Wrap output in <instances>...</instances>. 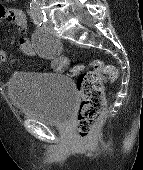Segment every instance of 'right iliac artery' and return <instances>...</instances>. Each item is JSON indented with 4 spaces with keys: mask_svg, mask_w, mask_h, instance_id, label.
<instances>
[{
    "mask_svg": "<svg viewBox=\"0 0 143 170\" xmlns=\"http://www.w3.org/2000/svg\"><path fill=\"white\" fill-rule=\"evenodd\" d=\"M44 18H45V16H44V17L34 18V23H35L38 27H40V26H42V25L44 24Z\"/></svg>",
    "mask_w": 143,
    "mask_h": 170,
    "instance_id": "obj_1",
    "label": "right iliac artery"
}]
</instances>
